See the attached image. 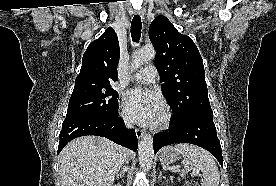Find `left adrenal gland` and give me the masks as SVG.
<instances>
[{
  "instance_id": "a2214340",
  "label": "left adrenal gland",
  "mask_w": 276,
  "mask_h": 186,
  "mask_svg": "<svg viewBox=\"0 0 276 186\" xmlns=\"http://www.w3.org/2000/svg\"><path fill=\"white\" fill-rule=\"evenodd\" d=\"M161 178H164L167 181V178L165 176H163L162 172L160 171L159 176H158V180H160Z\"/></svg>"
}]
</instances>
